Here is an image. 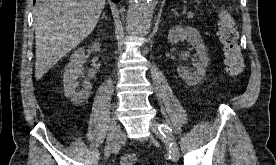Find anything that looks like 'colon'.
Listing matches in <instances>:
<instances>
[{
  "instance_id": "1",
  "label": "colon",
  "mask_w": 276,
  "mask_h": 165,
  "mask_svg": "<svg viewBox=\"0 0 276 165\" xmlns=\"http://www.w3.org/2000/svg\"><path fill=\"white\" fill-rule=\"evenodd\" d=\"M219 39L224 54V64L228 75L238 77L244 69V62L238 43V31L232 15L223 10L219 18ZM137 161L135 154L127 153L121 158L122 165H134Z\"/></svg>"
}]
</instances>
